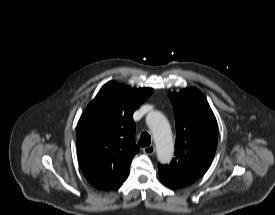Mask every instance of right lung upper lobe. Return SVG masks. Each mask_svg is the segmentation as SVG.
Wrapping results in <instances>:
<instances>
[{"label": "right lung upper lobe", "mask_w": 275, "mask_h": 215, "mask_svg": "<svg viewBox=\"0 0 275 215\" xmlns=\"http://www.w3.org/2000/svg\"><path fill=\"white\" fill-rule=\"evenodd\" d=\"M152 92L110 81L82 114L76 130L78 158L84 176L97 189H117L127 178L139 151L133 112Z\"/></svg>", "instance_id": "1"}]
</instances>
